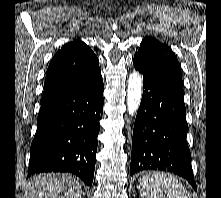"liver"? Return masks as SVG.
I'll return each instance as SVG.
<instances>
[{"mask_svg": "<svg viewBox=\"0 0 221 198\" xmlns=\"http://www.w3.org/2000/svg\"><path fill=\"white\" fill-rule=\"evenodd\" d=\"M78 178L65 173H47L33 176L26 185V198H82Z\"/></svg>", "mask_w": 221, "mask_h": 198, "instance_id": "obj_1", "label": "liver"}]
</instances>
